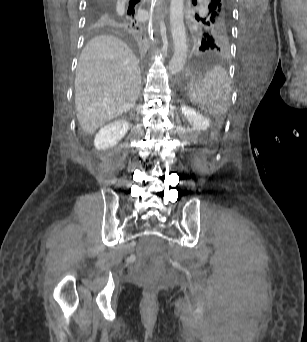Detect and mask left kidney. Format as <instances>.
I'll return each mask as SVG.
<instances>
[{
  "label": "left kidney",
  "instance_id": "5707ae66",
  "mask_svg": "<svg viewBox=\"0 0 307 342\" xmlns=\"http://www.w3.org/2000/svg\"><path fill=\"white\" fill-rule=\"evenodd\" d=\"M181 110L189 124H192L194 130H208L210 128L211 120L209 118H205V116H202L196 110H192V108H188V106H182Z\"/></svg>",
  "mask_w": 307,
  "mask_h": 342
}]
</instances>
